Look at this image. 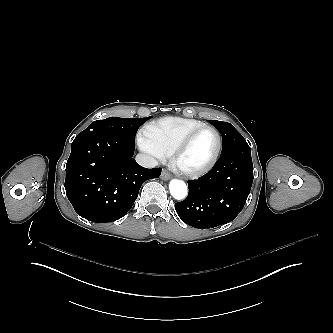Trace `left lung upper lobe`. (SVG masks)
Returning a JSON list of instances; mask_svg holds the SVG:
<instances>
[{"label":"left lung upper lobe","mask_w":333,"mask_h":333,"mask_svg":"<svg viewBox=\"0 0 333 333\" xmlns=\"http://www.w3.org/2000/svg\"><path fill=\"white\" fill-rule=\"evenodd\" d=\"M209 122L215 126L222 135V152H226L232 147L247 143L243 136L227 122L209 120Z\"/></svg>","instance_id":"obj_1"}]
</instances>
